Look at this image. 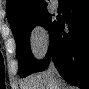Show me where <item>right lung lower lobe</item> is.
Listing matches in <instances>:
<instances>
[{
    "label": "right lung lower lobe",
    "instance_id": "right-lung-lower-lobe-1",
    "mask_svg": "<svg viewBox=\"0 0 89 89\" xmlns=\"http://www.w3.org/2000/svg\"><path fill=\"white\" fill-rule=\"evenodd\" d=\"M66 15L50 36L46 57L40 61L35 72L43 71L52 57L62 78L81 89L89 87V1L64 0ZM68 24V32L64 25Z\"/></svg>",
    "mask_w": 89,
    "mask_h": 89
}]
</instances>
